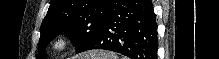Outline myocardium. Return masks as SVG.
Returning <instances> with one entry per match:
<instances>
[{"instance_id":"obj_1","label":"myocardium","mask_w":219,"mask_h":59,"mask_svg":"<svg viewBox=\"0 0 219 59\" xmlns=\"http://www.w3.org/2000/svg\"><path fill=\"white\" fill-rule=\"evenodd\" d=\"M71 39L67 36H58L49 43L50 51L54 54H64L71 47Z\"/></svg>"}]
</instances>
